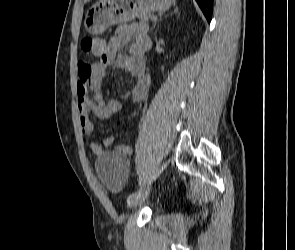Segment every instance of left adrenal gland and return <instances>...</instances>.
<instances>
[{"instance_id": "obj_1", "label": "left adrenal gland", "mask_w": 295, "mask_h": 250, "mask_svg": "<svg viewBox=\"0 0 295 250\" xmlns=\"http://www.w3.org/2000/svg\"><path fill=\"white\" fill-rule=\"evenodd\" d=\"M174 13L179 15L178 8H176V9L174 10ZM155 26H156V22L154 23L153 27L151 28V31L155 28Z\"/></svg>"}]
</instances>
